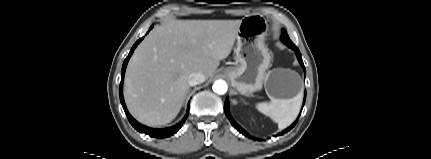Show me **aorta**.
<instances>
[{
	"instance_id": "aorta-1",
	"label": "aorta",
	"mask_w": 431,
	"mask_h": 159,
	"mask_svg": "<svg viewBox=\"0 0 431 159\" xmlns=\"http://www.w3.org/2000/svg\"><path fill=\"white\" fill-rule=\"evenodd\" d=\"M215 93L223 95L227 92L228 86L224 80H216L212 86Z\"/></svg>"
}]
</instances>
